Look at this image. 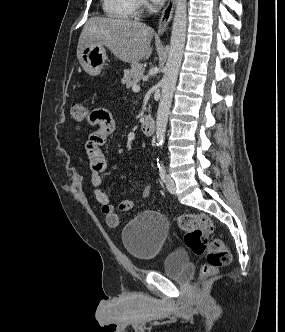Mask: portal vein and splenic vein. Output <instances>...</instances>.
<instances>
[{
    "instance_id": "obj_1",
    "label": "portal vein and splenic vein",
    "mask_w": 285,
    "mask_h": 332,
    "mask_svg": "<svg viewBox=\"0 0 285 332\" xmlns=\"http://www.w3.org/2000/svg\"><path fill=\"white\" fill-rule=\"evenodd\" d=\"M132 90H133L134 92H138V91H140V86H138V85H134V86L132 87Z\"/></svg>"
}]
</instances>
